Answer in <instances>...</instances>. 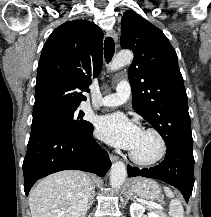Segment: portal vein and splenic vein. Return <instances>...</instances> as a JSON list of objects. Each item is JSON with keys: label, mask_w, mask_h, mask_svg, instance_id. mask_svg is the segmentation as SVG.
Segmentation results:
<instances>
[{"label": "portal vein and splenic vein", "mask_w": 211, "mask_h": 217, "mask_svg": "<svg viewBox=\"0 0 211 217\" xmlns=\"http://www.w3.org/2000/svg\"><path fill=\"white\" fill-rule=\"evenodd\" d=\"M148 206L152 207V208H156V209H163V207L159 204H155V203H146Z\"/></svg>", "instance_id": "18ae733b"}]
</instances>
